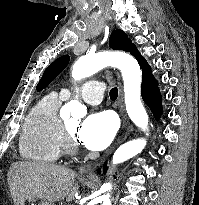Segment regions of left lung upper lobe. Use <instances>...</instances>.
<instances>
[{
	"label": "left lung upper lobe",
	"instance_id": "left-lung-upper-lobe-1",
	"mask_svg": "<svg viewBox=\"0 0 199 205\" xmlns=\"http://www.w3.org/2000/svg\"><path fill=\"white\" fill-rule=\"evenodd\" d=\"M131 40L128 36L119 29L114 30L109 38V46L114 50H124L127 51ZM69 62V56L64 55L56 59L51 65L45 70L41 80L39 81L36 90L41 91L44 89L51 81L58 76Z\"/></svg>",
	"mask_w": 199,
	"mask_h": 205
}]
</instances>
